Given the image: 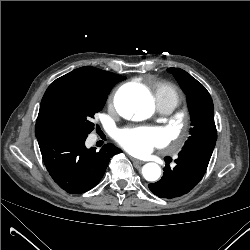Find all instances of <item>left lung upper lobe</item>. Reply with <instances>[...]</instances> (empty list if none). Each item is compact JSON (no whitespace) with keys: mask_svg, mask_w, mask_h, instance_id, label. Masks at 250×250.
Returning a JSON list of instances; mask_svg holds the SVG:
<instances>
[{"mask_svg":"<svg viewBox=\"0 0 250 250\" xmlns=\"http://www.w3.org/2000/svg\"><path fill=\"white\" fill-rule=\"evenodd\" d=\"M178 80L182 90L187 95V103L191 116V136L185 146L194 143L216 141L217 132L213 118V102L204 86L182 69H168Z\"/></svg>","mask_w":250,"mask_h":250,"instance_id":"left-lung-upper-lobe-1","label":"left lung upper lobe"}]
</instances>
